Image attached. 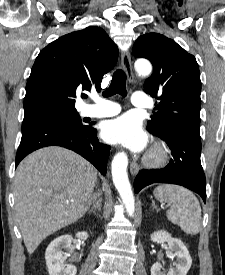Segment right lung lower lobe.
<instances>
[{
  "instance_id": "right-lung-lower-lobe-1",
  "label": "right lung lower lobe",
  "mask_w": 225,
  "mask_h": 275,
  "mask_svg": "<svg viewBox=\"0 0 225 275\" xmlns=\"http://www.w3.org/2000/svg\"><path fill=\"white\" fill-rule=\"evenodd\" d=\"M47 146L73 150L106 174L111 147L98 141L97 130L91 126L75 128L50 118L23 120L22 138L16 155V166L29 153Z\"/></svg>"
}]
</instances>
